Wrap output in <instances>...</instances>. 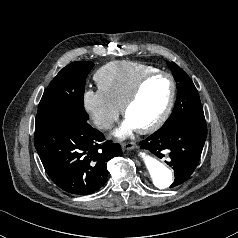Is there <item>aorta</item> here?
I'll list each match as a JSON object with an SVG mask.
<instances>
[{
	"mask_svg": "<svg viewBox=\"0 0 238 238\" xmlns=\"http://www.w3.org/2000/svg\"><path fill=\"white\" fill-rule=\"evenodd\" d=\"M138 156L143 162L156 188L166 189L172 184L173 174L171 170L161 163L157 158L144 151H140Z\"/></svg>",
	"mask_w": 238,
	"mask_h": 238,
	"instance_id": "1",
	"label": "aorta"
}]
</instances>
